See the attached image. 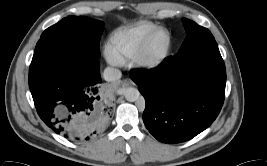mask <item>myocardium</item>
Listing matches in <instances>:
<instances>
[{"label": "myocardium", "instance_id": "f54148a6", "mask_svg": "<svg viewBox=\"0 0 267 166\" xmlns=\"http://www.w3.org/2000/svg\"><path fill=\"white\" fill-rule=\"evenodd\" d=\"M166 35V42L161 51L153 53L150 51V46L159 34ZM173 44V37L171 32L165 27H158L152 31L140 47L132 55V63L141 69H152L159 66L169 56Z\"/></svg>", "mask_w": 267, "mask_h": 166}]
</instances>
